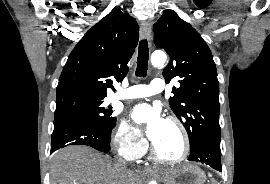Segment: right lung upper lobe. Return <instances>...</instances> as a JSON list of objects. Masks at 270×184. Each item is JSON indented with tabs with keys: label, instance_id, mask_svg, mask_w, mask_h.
I'll use <instances>...</instances> for the list:
<instances>
[{
	"label": "right lung upper lobe",
	"instance_id": "cb5924a9",
	"mask_svg": "<svg viewBox=\"0 0 270 184\" xmlns=\"http://www.w3.org/2000/svg\"><path fill=\"white\" fill-rule=\"evenodd\" d=\"M139 27L136 20L120 9L89 29L68 57L57 86L56 98L84 95L107 96L111 78L121 80L137 46Z\"/></svg>",
	"mask_w": 270,
	"mask_h": 184
}]
</instances>
